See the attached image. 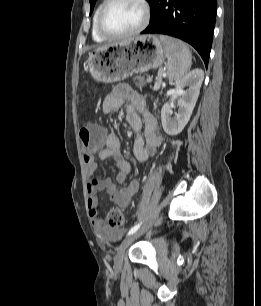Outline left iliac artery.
Returning a JSON list of instances; mask_svg holds the SVG:
<instances>
[{
    "label": "left iliac artery",
    "mask_w": 261,
    "mask_h": 306,
    "mask_svg": "<svg viewBox=\"0 0 261 306\" xmlns=\"http://www.w3.org/2000/svg\"><path fill=\"white\" fill-rule=\"evenodd\" d=\"M142 222L138 223L137 225H135L134 227H132L129 232H128V236L135 233L141 226Z\"/></svg>",
    "instance_id": "obj_1"
}]
</instances>
